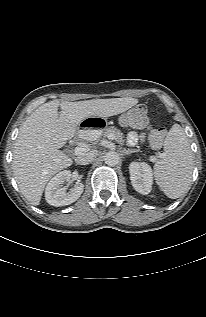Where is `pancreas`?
<instances>
[{"mask_svg":"<svg viewBox=\"0 0 206 317\" xmlns=\"http://www.w3.org/2000/svg\"><path fill=\"white\" fill-rule=\"evenodd\" d=\"M111 134L114 136V140H115L117 143H119V144H124L125 139H124L123 133H122L119 129H117L116 127H114V126H111V127H108V128H106V129H104V130L100 133L99 137H100V136L108 137V136L111 135ZM90 140H92V139H90Z\"/></svg>","mask_w":206,"mask_h":317,"instance_id":"obj_1","label":"pancreas"}]
</instances>
